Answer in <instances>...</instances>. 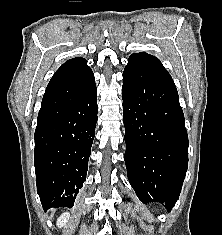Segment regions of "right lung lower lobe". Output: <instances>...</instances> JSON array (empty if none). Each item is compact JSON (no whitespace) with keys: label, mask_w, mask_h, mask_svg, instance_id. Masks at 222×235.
<instances>
[{"label":"right lung lower lobe","mask_w":222,"mask_h":235,"mask_svg":"<svg viewBox=\"0 0 222 235\" xmlns=\"http://www.w3.org/2000/svg\"><path fill=\"white\" fill-rule=\"evenodd\" d=\"M97 109L91 69L50 80L35 131L36 184L44 210L74 205L86 180Z\"/></svg>","instance_id":"1"}]
</instances>
